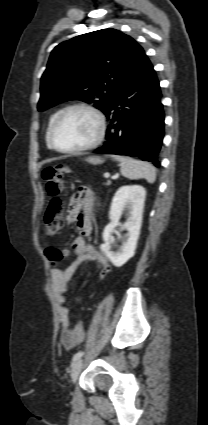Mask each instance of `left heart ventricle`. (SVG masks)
<instances>
[{"label":"left heart ventricle","instance_id":"b2bd125f","mask_svg":"<svg viewBox=\"0 0 208 425\" xmlns=\"http://www.w3.org/2000/svg\"><path fill=\"white\" fill-rule=\"evenodd\" d=\"M98 130L97 121L93 115L82 110L67 113L59 122L54 140L63 149H72L90 143Z\"/></svg>","mask_w":208,"mask_h":425}]
</instances>
